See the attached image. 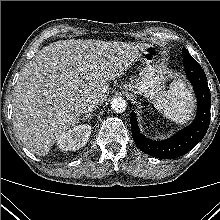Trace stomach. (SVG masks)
Segmentation results:
<instances>
[{"mask_svg":"<svg viewBox=\"0 0 220 220\" xmlns=\"http://www.w3.org/2000/svg\"><path fill=\"white\" fill-rule=\"evenodd\" d=\"M158 48L147 45L139 58L143 67L139 75L132 81L123 85V90L135 95H144L153 99L162 93L166 81V71L158 59Z\"/></svg>","mask_w":220,"mask_h":220,"instance_id":"stomach-1","label":"stomach"}]
</instances>
